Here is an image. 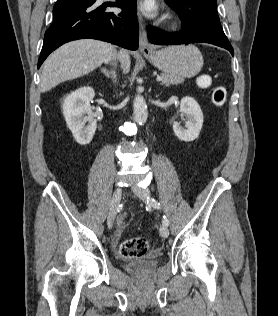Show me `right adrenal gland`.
Wrapping results in <instances>:
<instances>
[{"label":"right adrenal gland","mask_w":278,"mask_h":316,"mask_svg":"<svg viewBox=\"0 0 278 316\" xmlns=\"http://www.w3.org/2000/svg\"><path fill=\"white\" fill-rule=\"evenodd\" d=\"M101 69V72L107 77V78H111L112 77V74L114 73H110L106 67H103V68H100Z\"/></svg>","instance_id":"2a0ac1e0"}]
</instances>
